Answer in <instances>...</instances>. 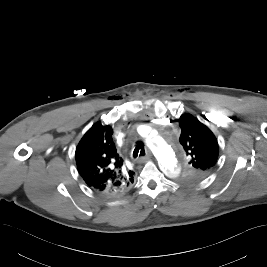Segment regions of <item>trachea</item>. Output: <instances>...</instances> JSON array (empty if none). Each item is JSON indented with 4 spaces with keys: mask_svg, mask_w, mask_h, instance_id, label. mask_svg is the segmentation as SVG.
<instances>
[{
    "mask_svg": "<svg viewBox=\"0 0 267 267\" xmlns=\"http://www.w3.org/2000/svg\"><path fill=\"white\" fill-rule=\"evenodd\" d=\"M145 155V149H144V144L142 141H137L135 149L133 151V157L137 158L138 156H144Z\"/></svg>",
    "mask_w": 267,
    "mask_h": 267,
    "instance_id": "trachea-1",
    "label": "trachea"
}]
</instances>
